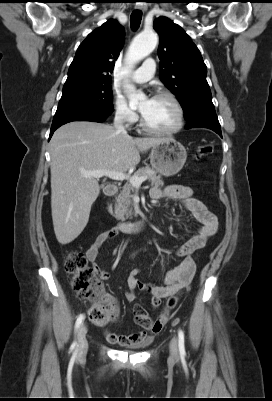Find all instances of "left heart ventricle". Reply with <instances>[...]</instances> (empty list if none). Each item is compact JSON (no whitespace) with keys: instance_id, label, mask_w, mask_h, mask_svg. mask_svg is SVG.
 <instances>
[{"instance_id":"1","label":"left heart ventricle","mask_w":272,"mask_h":401,"mask_svg":"<svg viewBox=\"0 0 272 401\" xmlns=\"http://www.w3.org/2000/svg\"><path fill=\"white\" fill-rule=\"evenodd\" d=\"M139 109L146 124L154 129H170L177 122L176 109L168 99L145 100L140 104Z\"/></svg>"}]
</instances>
